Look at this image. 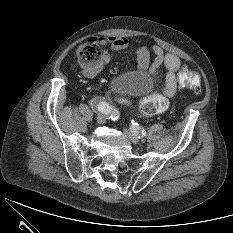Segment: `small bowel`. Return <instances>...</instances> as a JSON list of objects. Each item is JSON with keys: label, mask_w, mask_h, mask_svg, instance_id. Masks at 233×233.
Returning a JSON list of instances; mask_svg holds the SVG:
<instances>
[{"label": "small bowel", "mask_w": 233, "mask_h": 233, "mask_svg": "<svg viewBox=\"0 0 233 233\" xmlns=\"http://www.w3.org/2000/svg\"><path fill=\"white\" fill-rule=\"evenodd\" d=\"M100 43L108 50H122L128 46V41L124 37L108 36L99 39ZM152 51L155 54L154 62L151 66V70H155L160 65H164L166 68L164 95L168 98L173 97L177 91V79L181 70L180 59L172 53L165 52L159 46H153ZM138 54V68L143 70L148 65L149 60V48L146 46H140L137 49ZM109 60L108 51H105L103 59L97 65L87 67L84 70L86 77L93 78L101 71L105 64Z\"/></svg>", "instance_id": "small-bowel-1"}]
</instances>
